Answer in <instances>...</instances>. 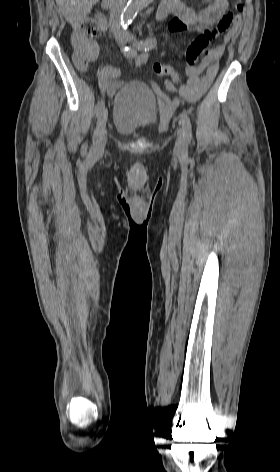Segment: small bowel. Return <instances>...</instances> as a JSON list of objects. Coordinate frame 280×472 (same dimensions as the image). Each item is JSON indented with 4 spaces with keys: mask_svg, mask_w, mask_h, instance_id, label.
Masks as SVG:
<instances>
[{
    "mask_svg": "<svg viewBox=\"0 0 280 472\" xmlns=\"http://www.w3.org/2000/svg\"><path fill=\"white\" fill-rule=\"evenodd\" d=\"M161 4L167 8L168 14L173 15V19L168 24L169 30L173 33L201 32L216 24L229 7L228 0H213L208 7L199 11L187 6L181 0H163ZM99 24L101 31L105 32L106 23L100 21ZM237 33L238 26L232 27L224 36L223 42L213 47L198 64H188L185 69L188 81L185 85L176 87L168 79L165 81L166 89L178 94L187 103L198 101L206 93L217 75L218 62L224 52L226 43L234 39ZM72 46L74 56L81 57L87 64L83 70H86L88 65L98 57L97 42L79 31L72 35ZM134 61L135 67L140 68L147 63L148 57L144 53L137 54ZM118 76V69L112 67L111 80L106 87L109 95H113L121 85V82L117 81ZM152 86L158 98L162 119L164 122H168L179 107L180 100L177 97L167 95L155 83Z\"/></svg>",
    "mask_w": 280,
    "mask_h": 472,
    "instance_id": "1",
    "label": "small bowel"
}]
</instances>
